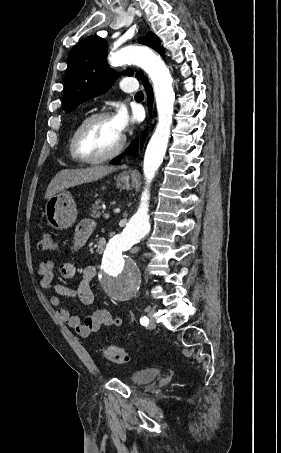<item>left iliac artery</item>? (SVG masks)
I'll return each instance as SVG.
<instances>
[{
  "label": "left iliac artery",
  "instance_id": "44dca946",
  "mask_svg": "<svg viewBox=\"0 0 281 453\" xmlns=\"http://www.w3.org/2000/svg\"><path fill=\"white\" fill-rule=\"evenodd\" d=\"M140 323H141L142 325L148 324V323H149V319H148L146 316H144V317H142V318L140 319Z\"/></svg>",
  "mask_w": 281,
  "mask_h": 453
}]
</instances>
